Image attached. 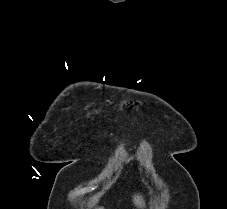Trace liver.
Instances as JSON below:
<instances>
[{
	"instance_id": "1",
	"label": "liver",
	"mask_w": 227,
	"mask_h": 209,
	"mask_svg": "<svg viewBox=\"0 0 227 209\" xmlns=\"http://www.w3.org/2000/svg\"><path fill=\"white\" fill-rule=\"evenodd\" d=\"M134 203H135V205H137V207H143L141 197H134Z\"/></svg>"
}]
</instances>
